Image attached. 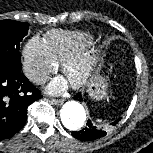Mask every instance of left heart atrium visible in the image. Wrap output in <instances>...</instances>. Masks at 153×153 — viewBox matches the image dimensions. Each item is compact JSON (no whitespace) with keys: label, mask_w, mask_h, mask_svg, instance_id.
<instances>
[{"label":"left heart atrium","mask_w":153,"mask_h":153,"mask_svg":"<svg viewBox=\"0 0 153 153\" xmlns=\"http://www.w3.org/2000/svg\"><path fill=\"white\" fill-rule=\"evenodd\" d=\"M67 88V82L63 78L53 79L47 87V91L51 94H59Z\"/></svg>","instance_id":"1"}]
</instances>
